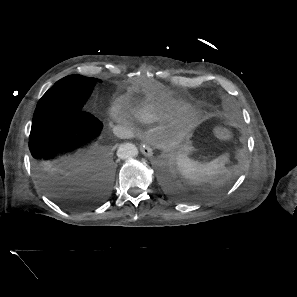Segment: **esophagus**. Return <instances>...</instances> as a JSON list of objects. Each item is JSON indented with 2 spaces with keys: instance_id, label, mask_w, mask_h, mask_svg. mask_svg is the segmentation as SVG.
<instances>
[{
  "instance_id": "1",
  "label": "esophagus",
  "mask_w": 297,
  "mask_h": 297,
  "mask_svg": "<svg viewBox=\"0 0 297 297\" xmlns=\"http://www.w3.org/2000/svg\"><path fill=\"white\" fill-rule=\"evenodd\" d=\"M140 150L146 157H151L153 154V151H152L149 141L142 143L140 145Z\"/></svg>"
}]
</instances>
